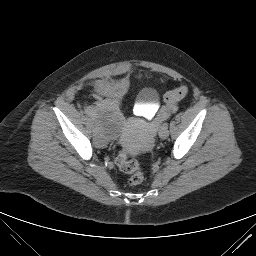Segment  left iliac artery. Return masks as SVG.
<instances>
[{"mask_svg":"<svg viewBox=\"0 0 256 256\" xmlns=\"http://www.w3.org/2000/svg\"><path fill=\"white\" fill-rule=\"evenodd\" d=\"M163 125L168 126V123H164Z\"/></svg>","mask_w":256,"mask_h":256,"instance_id":"1","label":"left iliac artery"}]
</instances>
